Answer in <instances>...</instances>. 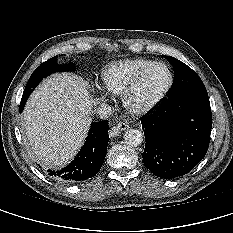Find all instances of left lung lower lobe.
<instances>
[{
  "label": "left lung lower lobe",
  "mask_w": 233,
  "mask_h": 233,
  "mask_svg": "<svg viewBox=\"0 0 233 233\" xmlns=\"http://www.w3.org/2000/svg\"><path fill=\"white\" fill-rule=\"evenodd\" d=\"M145 135L144 165L171 179L190 172L206 155L212 127L207 92L168 97L151 115L141 118Z\"/></svg>",
  "instance_id": "left-lung-lower-lobe-1"
}]
</instances>
